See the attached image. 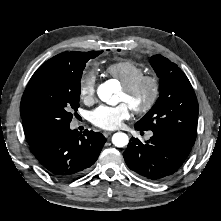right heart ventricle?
Returning <instances> with one entry per match:
<instances>
[{
	"instance_id": "right-heart-ventricle-1",
	"label": "right heart ventricle",
	"mask_w": 221,
	"mask_h": 221,
	"mask_svg": "<svg viewBox=\"0 0 221 221\" xmlns=\"http://www.w3.org/2000/svg\"><path fill=\"white\" fill-rule=\"evenodd\" d=\"M108 75L118 80L122 85L130 83L144 75L142 66L131 60H121L110 64L106 68Z\"/></svg>"
}]
</instances>
